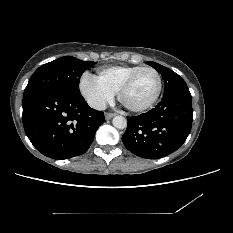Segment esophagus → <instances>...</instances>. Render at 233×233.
Segmentation results:
<instances>
[{
  "label": "esophagus",
  "mask_w": 233,
  "mask_h": 233,
  "mask_svg": "<svg viewBox=\"0 0 233 233\" xmlns=\"http://www.w3.org/2000/svg\"><path fill=\"white\" fill-rule=\"evenodd\" d=\"M114 117V114L113 113H106L105 114V119L106 120H110L111 118H113Z\"/></svg>",
  "instance_id": "1"
}]
</instances>
